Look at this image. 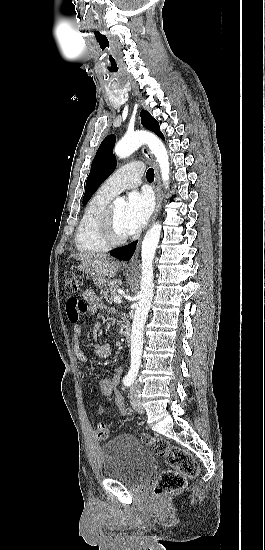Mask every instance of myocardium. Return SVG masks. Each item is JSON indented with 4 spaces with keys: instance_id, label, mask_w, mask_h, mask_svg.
I'll list each match as a JSON object with an SVG mask.
<instances>
[{
    "instance_id": "1",
    "label": "myocardium",
    "mask_w": 265,
    "mask_h": 550,
    "mask_svg": "<svg viewBox=\"0 0 265 550\" xmlns=\"http://www.w3.org/2000/svg\"><path fill=\"white\" fill-rule=\"evenodd\" d=\"M99 231L109 246L121 245L131 237V234L120 235L117 233L114 223L113 206L111 204L107 206L99 221Z\"/></svg>"
}]
</instances>
